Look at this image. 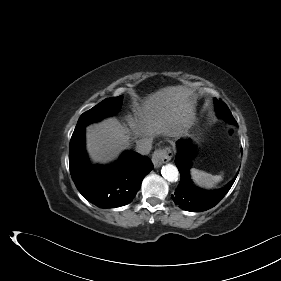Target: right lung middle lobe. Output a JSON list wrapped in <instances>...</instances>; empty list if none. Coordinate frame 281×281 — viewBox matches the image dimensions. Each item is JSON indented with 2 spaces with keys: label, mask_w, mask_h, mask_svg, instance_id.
Instances as JSON below:
<instances>
[{
  "label": "right lung middle lobe",
  "mask_w": 281,
  "mask_h": 281,
  "mask_svg": "<svg viewBox=\"0 0 281 281\" xmlns=\"http://www.w3.org/2000/svg\"><path fill=\"white\" fill-rule=\"evenodd\" d=\"M123 96L107 98L101 103L83 113L75 129L83 128L89 123L96 122L106 116L115 114L121 107Z\"/></svg>",
  "instance_id": "right-lung-middle-lobe-1"
}]
</instances>
